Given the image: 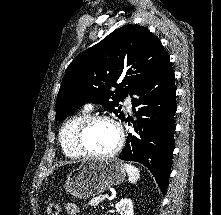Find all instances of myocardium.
<instances>
[{
	"label": "myocardium",
	"mask_w": 221,
	"mask_h": 215,
	"mask_svg": "<svg viewBox=\"0 0 221 215\" xmlns=\"http://www.w3.org/2000/svg\"><path fill=\"white\" fill-rule=\"evenodd\" d=\"M98 121H107L111 123L114 126L116 133H117V142L115 146L111 150L105 153L91 152L90 150L87 149L85 142H84V138H85L87 131L94 123ZM76 144H77L78 149L85 156H88L91 158H98V159L108 158L118 153L120 149L122 148L124 144V132L120 123L113 117L109 115H105V114L91 115L79 127L77 134H76Z\"/></svg>",
	"instance_id": "myocardium-1"
}]
</instances>
